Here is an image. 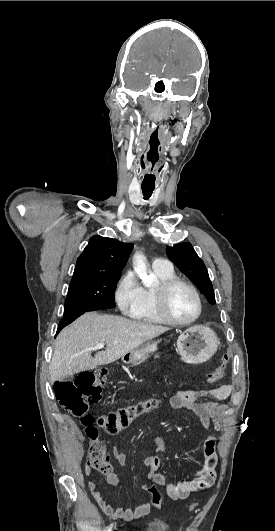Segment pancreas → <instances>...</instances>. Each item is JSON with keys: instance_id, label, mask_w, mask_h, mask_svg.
<instances>
[{"instance_id": "pancreas-1", "label": "pancreas", "mask_w": 275, "mask_h": 531, "mask_svg": "<svg viewBox=\"0 0 275 531\" xmlns=\"http://www.w3.org/2000/svg\"><path fill=\"white\" fill-rule=\"evenodd\" d=\"M160 355H155L154 359H159Z\"/></svg>"}]
</instances>
